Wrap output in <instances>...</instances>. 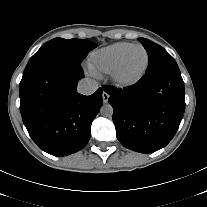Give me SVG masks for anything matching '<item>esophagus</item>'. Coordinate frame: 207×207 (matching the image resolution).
I'll return each instance as SVG.
<instances>
[{"instance_id": "esophagus-1", "label": "esophagus", "mask_w": 207, "mask_h": 207, "mask_svg": "<svg viewBox=\"0 0 207 207\" xmlns=\"http://www.w3.org/2000/svg\"><path fill=\"white\" fill-rule=\"evenodd\" d=\"M102 99H103V102L104 103H107L108 102V99H109V94L105 91H103L102 93Z\"/></svg>"}]
</instances>
